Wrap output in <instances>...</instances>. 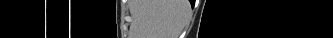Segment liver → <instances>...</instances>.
I'll list each match as a JSON object with an SVG mask.
<instances>
[{"instance_id": "6515ba94", "label": "liver", "mask_w": 333, "mask_h": 38, "mask_svg": "<svg viewBox=\"0 0 333 38\" xmlns=\"http://www.w3.org/2000/svg\"><path fill=\"white\" fill-rule=\"evenodd\" d=\"M188 0H138L137 38H178L190 18Z\"/></svg>"}]
</instances>
